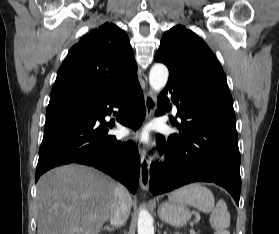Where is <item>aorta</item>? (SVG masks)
<instances>
[{
	"label": "aorta",
	"instance_id": "obj_1",
	"mask_svg": "<svg viewBox=\"0 0 279 234\" xmlns=\"http://www.w3.org/2000/svg\"><path fill=\"white\" fill-rule=\"evenodd\" d=\"M168 77L169 71L164 64H154L149 73L151 88L156 92H160L165 87ZM137 227L138 234H154L153 218L146 209H140Z\"/></svg>",
	"mask_w": 279,
	"mask_h": 234
}]
</instances>
